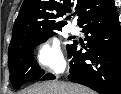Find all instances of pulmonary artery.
I'll return each mask as SVG.
<instances>
[{
    "label": "pulmonary artery",
    "instance_id": "pulmonary-artery-1",
    "mask_svg": "<svg viewBox=\"0 0 121 94\" xmlns=\"http://www.w3.org/2000/svg\"><path fill=\"white\" fill-rule=\"evenodd\" d=\"M69 30L72 34H77L79 32L78 28L75 25H70Z\"/></svg>",
    "mask_w": 121,
    "mask_h": 94
}]
</instances>
